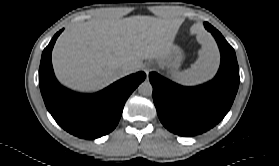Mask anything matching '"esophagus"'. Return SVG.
Listing matches in <instances>:
<instances>
[{"label":"esophagus","instance_id":"obj_1","mask_svg":"<svg viewBox=\"0 0 279 166\" xmlns=\"http://www.w3.org/2000/svg\"><path fill=\"white\" fill-rule=\"evenodd\" d=\"M152 70H153V69H152L151 64H146V65L144 66V71H145V73L147 74V77H148L149 73H150Z\"/></svg>","mask_w":279,"mask_h":166}]
</instances>
